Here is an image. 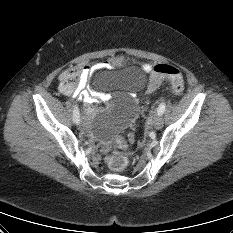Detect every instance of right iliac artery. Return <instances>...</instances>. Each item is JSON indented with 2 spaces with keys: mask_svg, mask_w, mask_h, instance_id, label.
Wrapping results in <instances>:
<instances>
[{
  "mask_svg": "<svg viewBox=\"0 0 233 233\" xmlns=\"http://www.w3.org/2000/svg\"><path fill=\"white\" fill-rule=\"evenodd\" d=\"M80 113H79V108L77 105L74 106V110H73V121L74 123L79 122L80 121Z\"/></svg>",
  "mask_w": 233,
  "mask_h": 233,
  "instance_id": "1",
  "label": "right iliac artery"
}]
</instances>
